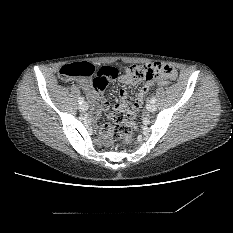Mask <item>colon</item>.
<instances>
[{
    "instance_id": "obj_1",
    "label": "colon",
    "mask_w": 233,
    "mask_h": 233,
    "mask_svg": "<svg viewBox=\"0 0 233 233\" xmlns=\"http://www.w3.org/2000/svg\"><path fill=\"white\" fill-rule=\"evenodd\" d=\"M104 68L96 69L95 65L88 61H81L61 67L58 71L59 78L66 81L70 78H92L95 84H99L103 77ZM171 76L173 68L166 63H155L147 66L133 64L126 68V74L134 79L152 81L157 74ZM136 110L128 106L126 111H116L111 115L114 126L109 123L100 125V133L104 137L120 139L129 144L132 141L133 124L128 120L135 116Z\"/></svg>"
}]
</instances>
